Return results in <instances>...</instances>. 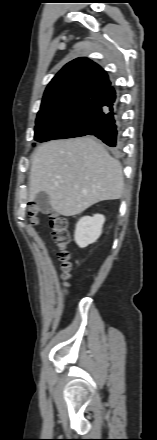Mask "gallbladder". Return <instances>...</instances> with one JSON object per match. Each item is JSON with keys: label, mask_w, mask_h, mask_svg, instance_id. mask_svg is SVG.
Here are the masks:
<instances>
[{"label": "gallbladder", "mask_w": 157, "mask_h": 440, "mask_svg": "<svg viewBox=\"0 0 157 440\" xmlns=\"http://www.w3.org/2000/svg\"><path fill=\"white\" fill-rule=\"evenodd\" d=\"M37 207L42 213H47L49 210V196L45 192H39L35 197Z\"/></svg>", "instance_id": "1"}]
</instances>
